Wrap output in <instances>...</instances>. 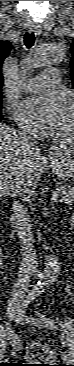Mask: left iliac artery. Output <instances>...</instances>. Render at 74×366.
<instances>
[{
    "instance_id": "44dca946",
    "label": "left iliac artery",
    "mask_w": 74,
    "mask_h": 366,
    "mask_svg": "<svg viewBox=\"0 0 74 366\" xmlns=\"http://www.w3.org/2000/svg\"><path fill=\"white\" fill-rule=\"evenodd\" d=\"M26 308H27V306H26ZM29 321L32 322L33 324H36L37 326L51 328V329L57 328L56 321L51 318L43 317V318L35 319L33 317H30Z\"/></svg>"
}]
</instances>
